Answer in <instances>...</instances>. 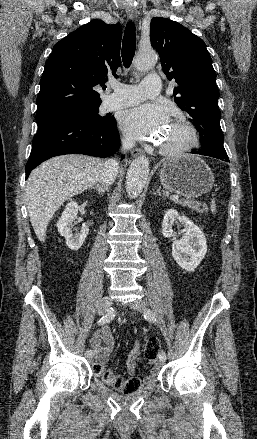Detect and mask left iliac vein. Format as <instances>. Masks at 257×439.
Listing matches in <instances>:
<instances>
[{
    "label": "left iliac vein",
    "instance_id": "left-iliac-vein-1",
    "mask_svg": "<svg viewBox=\"0 0 257 439\" xmlns=\"http://www.w3.org/2000/svg\"><path fill=\"white\" fill-rule=\"evenodd\" d=\"M130 307L133 310L143 312V311H145V308H146V302L144 300H141V299L140 300H136V301H134L133 303L130 304ZM164 361L165 360L159 358L158 362H157L158 366H162Z\"/></svg>",
    "mask_w": 257,
    "mask_h": 439
}]
</instances>
